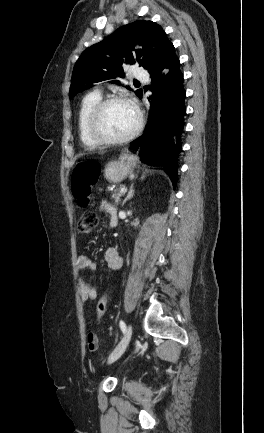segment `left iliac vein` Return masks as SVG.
<instances>
[{
    "label": "left iliac vein",
    "instance_id": "4c4485c4",
    "mask_svg": "<svg viewBox=\"0 0 264 433\" xmlns=\"http://www.w3.org/2000/svg\"><path fill=\"white\" fill-rule=\"evenodd\" d=\"M132 336V326L129 324L125 330L124 336L118 345V347L113 351V353L108 358V363L111 364L115 362L120 356L125 352Z\"/></svg>",
    "mask_w": 264,
    "mask_h": 433
}]
</instances>
